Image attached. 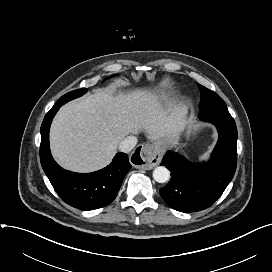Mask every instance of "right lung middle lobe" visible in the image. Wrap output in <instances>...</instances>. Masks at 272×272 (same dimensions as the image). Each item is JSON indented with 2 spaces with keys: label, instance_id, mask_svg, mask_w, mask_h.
<instances>
[{
  "label": "right lung middle lobe",
  "instance_id": "right-lung-middle-lobe-1",
  "mask_svg": "<svg viewBox=\"0 0 272 272\" xmlns=\"http://www.w3.org/2000/svg\"><path fill=\"white\" fill-rule=\"evenodd\" d=\"M87 91L86 88H82V89H78V90H75V91H72V92H69L65 95H63L58 101L56 104H60V105H63L65 104L66 102L70 101V100H73L77 97H80L82 96L83 94H85Z\"/></svg>",
  "mask_w": 272,
  "mask_h": 272
}]
</instances>
